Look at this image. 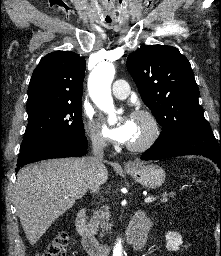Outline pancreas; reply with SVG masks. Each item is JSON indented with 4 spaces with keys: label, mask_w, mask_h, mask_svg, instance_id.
I'll return each mask as SVG.
<instances>
[{
    "label": "pancreas",
    "mask_w": 221,
    "mask_h": 256,
    "mask_svg": "<svg viewBox=\"0 0 221 256\" xmlns=\"http://www.w3.org/2000/svg\"><path fill=\"white\" fill-rule=\"evenodd\" d=\"M168 195H174V193L170 194H164L163 197L160 199L161 203H165L168 201ZM109 218H110V212H109V207L105 206L104 211L100 210L98 212H94L91 220H90V226L92 229L97 232L98 227L100 226L103 229H110V224H109Z\"/></svg>",
    "instance_id": "1"
}]
</instances>
